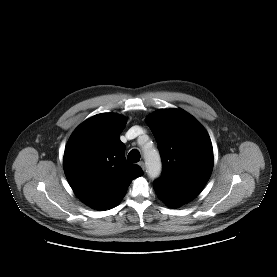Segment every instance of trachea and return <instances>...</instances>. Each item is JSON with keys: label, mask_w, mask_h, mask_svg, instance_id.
Wrapping results in <instances>:
<instances>
[{"label": "trachea", "mask_w": 277, "mask_h": 277, "mask_svg": "<svg viewBox=\"0 0 277 277\" xmlns=\"http://www.w3.org/2000/svg\"><path fill=\"white\" fill-rule=\"evenodd\" d=\"M127 159L133 163L139 162L140 152L136 149L131 150L127 156Z\"/></svg>", "instance_id": "1"}]
</instances>
